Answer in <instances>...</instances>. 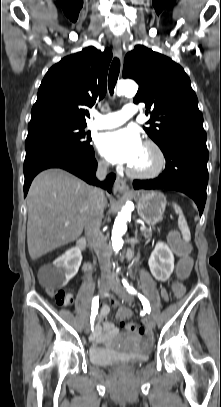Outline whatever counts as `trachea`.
Returning <instances> with one entry per match:
<instances>
[{
  "label": "trachea",
  "instance_id": "3493384b",
  "mask_svg": "<svg viewBox=\"0 0 221 407\" xmlns=\"http://www.w3.org/2000/svg\"><path fill=\"white\" fill-rule=\"evenodd\" d=\"M120 72V60L118 58H114L108 75V88L111 95L114 93V88L118 80Z\"/></svg>",
  "mask_w": 221,
  "mask_h": 407
}]
</instances>
